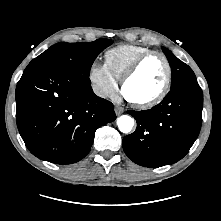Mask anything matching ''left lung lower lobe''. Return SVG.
I'll list each match as a JSON object with an SVG mask.
<instances>
[{"label": "left lung lower lobe", "mask_w": 221, "mask_h": 221, "mask_svg": "<svg viewBox=\"0 0 221 221\" xmlns=\"http://www.w3.org/2000/svg\"><path fill=\"white\" fill-rule=\"evenodd\" d=\"M202 107V89L195 80L171 88L164 100L149 110L128 111L137 128L122 140L126 155L150 168L179 161L199 135Z\"/></svg>", "instance_id": "0a47b994"}]
</instances>
